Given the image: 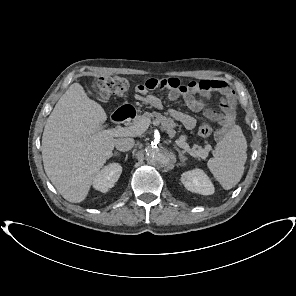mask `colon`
Instances as JSON below:
<instances>
[{
    "label": "colon",
    "instance_id": "5ec220e1",
    "mask_svg": "<svg viewBox=\"0 0 296 296\" xmlns=\"http://www.w3.org/2000/svg\"><path fill=\"white\" fill-rule=\"evenodd\" d=\"M95 88L102 97L123 96L129 90L130 82L124 77L112 76L99 79ZM211 133L212 128L207 123H202L198 128V135L203 139L209 137Z\"/></svg>",
    "mask_w": 296,
    "mask_h": 296
}]
</instances>
